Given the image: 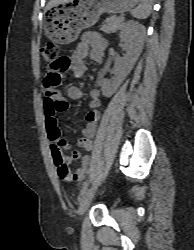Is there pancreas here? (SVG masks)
<instances>
[{"label": "pancreas", "instance_id": "1", "mask_svg": "<svg viewBox=\"0 0 194 250\" xmlns=\"http://www.w3.org/2000/svg\"><path fill=\"white\" fill-rule=\"evenodd\" d=\"M123 26L124 24L120 17L110 16L104 21L101 30L105 33H113L121 30Z\"/></svg>", "mask_w": 194, "mask_h": 250}]
</instances>
